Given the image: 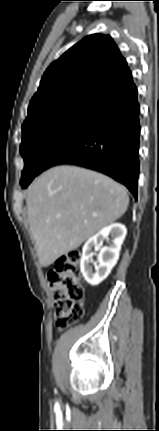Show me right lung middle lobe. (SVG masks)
<instances>
[{
	"label": "right lung middle lobe",
	"mask_w": 159,
	"mask_h": 431,
	"mask_svg": "<svg viewBox=\"0 0 159 431\" xmlns=\"http://www.w3.org/2000/svg\"><path fill=\"white\" fill-rule=\"evenodd\" d=\"M88 116L72 112L53 113L22 127L20 152L25 162L21 185L39 174L44 156L65 133Z\"/></svg>",
	"instance_id": "dd1d6c3e"
}]
</instances>
